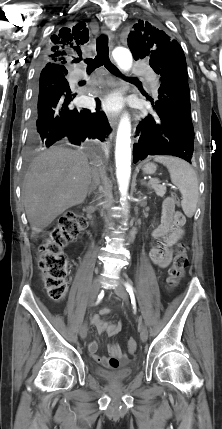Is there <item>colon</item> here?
Here are the masks:
<instances>
[{
	"instance_id": "5ec220e1",
	"label": "colon",
	"mask_w": 222,
	"mask_h": 429,
	"mask_svg": "<svg viewBox=\"0 0 222 429\" xmlns=\"http://www.w3.org/2000/svg\"><path fill=\"white\" fill-rule=\"evenodd\" d=\"M168 200L178 204L180 198L173 194ZM85 224L83 215L74 211L66 212L52 230L50 237L40 247L38 266L42 273L44 289L52 300H62L67 293L68 260L63 248L78 237ZM188 264L186 246L179 244L168 271L170 287L176 286L183 278ZM127 347L130 352H134L137 347L135 339L130 338Z\"/></svg>"
}]
</instances>
